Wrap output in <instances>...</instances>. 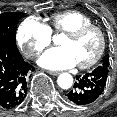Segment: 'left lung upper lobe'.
<instances>
[{
  "mask_svg": "<svg viewBox=\"0 0 117 117\" xmlns=\"http://www.w3.org/2000/svg\"><path fill=\"white\" fill-rule=\"evenodd\" d=\"M100 65L103 66V67H106V68L110 67V62H109V56L108 55L104 56L103 61H102V63Z\"/></svg>",
  "mask_w": 117,
  "mask_h": 117,
  "instance_id": "1",
  "label": "left lung upper lobe"
}]
</instances>
